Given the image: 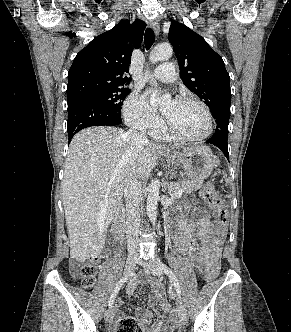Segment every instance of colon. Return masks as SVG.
Wrapping results in <instances>:
<instances>
[{"instance_id": "5ec220e1", "label": "colon", "mask_w": 291, "mask_h": 332, "mask_svg": "<svg viewBox=\"0 0 291 332\" xmlns=\"http://www.w3.org/2000/svg\"><path fill=\"white\" fill-rule=\"evenodd\" d=\"M203 197L206 202L214 209L218 225L226 228L228 225V211L217 194L212 183L205 184L203 188ZM220 271V262L214 261L206 267V276L212 280L216 278ZM72 272L75 277L81 279L83 287L90 288L94 285L97 267L95 262H89L83 265L73 263ZM115 332H143L142 324L134 318L126 317L121 319L115 326Z\"/></svg>"}]
</instances>
